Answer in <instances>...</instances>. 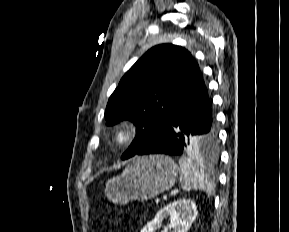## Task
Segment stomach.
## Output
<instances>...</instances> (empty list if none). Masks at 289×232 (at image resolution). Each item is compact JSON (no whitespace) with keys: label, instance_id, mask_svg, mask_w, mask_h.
I'll return each instance as SVG.
<instances>
[{"label":"stomach","instance_id":"stomach-1","mask_svg":"<svg viewBox=\"0 0 289 232\" xmlns=\"http://www.w3.org/2000/svg\"><path fill=\"white\" fill-rule=\"evenodd\" d=\"M179 168L168 156L141 157L128 165L120 176L105 186L107 198L125 205L132 200H149L169 190L175 183Z\"/></svg>","mask_w":289,"mask_h":232}]
</instances>
